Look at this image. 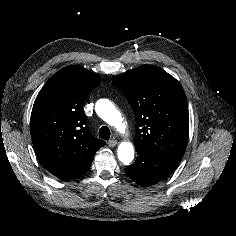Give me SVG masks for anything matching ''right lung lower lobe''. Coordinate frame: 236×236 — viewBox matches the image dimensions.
Segmentation results:
<instances>
[{
  "instance_id": "right-lung-lower-lobe-1",
  "label": "right lung lower lobe",
  "mask_w": 236,
  "mask_h": 236,
  "mask_svg": "<svg viewBox=\"0 0 236 236\" xmlns=\"http://www.w3.org/2000/svg\"><path fill=\"white\" fill-rule=\"evenodd\" d=\"M89 167H90V165L83 168V169H81V170H79V171H75V172H72V173L61 175L58 178L61 179V180H64V181L76 179L79 176H81L84 172H86Z\"/></svg>"
}]
</instances>
